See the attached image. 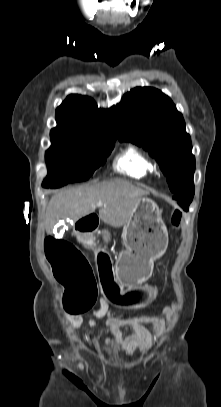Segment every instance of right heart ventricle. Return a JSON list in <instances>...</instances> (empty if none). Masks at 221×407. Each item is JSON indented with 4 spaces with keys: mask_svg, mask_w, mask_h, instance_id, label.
<instances>
[{
    "mask_svg": "<svg viewBox=\"0 0 221 407\" xmlns=\"http://www.w3.org/2000/svg\"><path fill=\"white\" fill-rule=\"evenodd\" d=\"M115 169L130 178L141 180L156 172L154 162L134 147L124 150L115 160Z\"/></svg>",
    "mask_w": 221,
    "mask_h": 407,
    "instance_id": "obj_1",
    "label": "right heart ventricle"
}]
</instances>
